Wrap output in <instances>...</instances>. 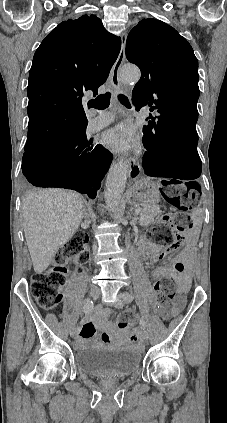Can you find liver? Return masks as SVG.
Masks as SVG:
<instances>
[{"instance_id":"1","label":"liver","mask_w":227,"mask_h":423,"mask_svg":"<svg viewBox=\"0 0 227 423\" xmlns=\"http://www.w3.org/2000/svg\"><path fill=\"white\" fill-rule=\"evenodd\" d=\"M82 204L79 194L60 188L35 190L23 198L24 233L36 273L47 269L78 229L84 217Z\"/></svg>"}]
</instances>
